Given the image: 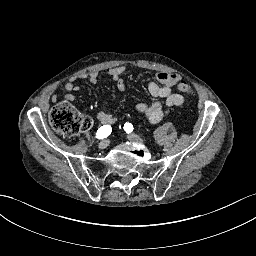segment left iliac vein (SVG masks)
<instances>
[{"instance_id":"left-iliac-vein-1","label":"left iliac vein","mask_w":256,"mask_h":256,"mask_svg":"<svg viewBox=\"0 0 256 256\" xmlns=\"http://www.w3.org/2000/svg\"><path fill=\"white\" fill-rule=\"evenodd\" d=\"M127 139L130 141L138 142V143H141L143 141L140 136L132 133L127 135Z\"/></svg>"}]
</instances>
